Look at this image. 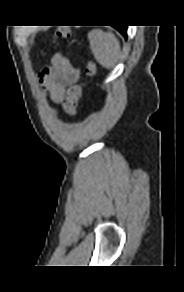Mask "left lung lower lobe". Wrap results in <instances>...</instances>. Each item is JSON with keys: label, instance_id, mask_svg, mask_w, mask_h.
<instances>
[{"label": "left lung lower lobe", "instance_id": "0a47b994", "mask_svg": "<svg viewBox=\"0 0 184 292\" xmlns=\"http://www.w3.org/2000/svg\"><path fill=\"white\" fill-rule=\"evenodd\" d=\"M124 37H127V26L115 27Z\"/></svg>", "mask_w": 184, "mask_h": 292}]
</instances>
